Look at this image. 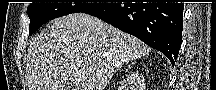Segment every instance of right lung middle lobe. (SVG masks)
Returning <instances> with one entry per match:
<instances>
[{"label":"right lung middle lobe","instance_id":"obj_1","mask_svg":"<svg viewBox=\"0 0 216 90\" xmlns=\"http://www.w3.org/2000/svg\"><path fill=\"white\" fill-rule=\"evenodd\" d=\"M105 3H31L27 8L30 18L29 35L44 23L71 13L84 12Z\"/></svg>","mask_w":216,"mask_h":90}]
</instances>
